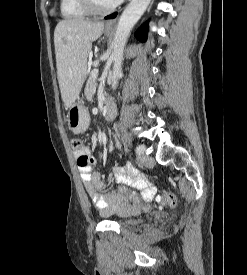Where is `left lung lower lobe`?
I'll return each mask as SVG.
<instances>
[{"label":"left lung lower lobe","mask_w":247,"mask_h":275,"mask_svg":"<svg viewBox=\"0 0 247 275\" xmlns=\"http://www.w3.org/2000/svg\"><path fill=\"white\" fill-rule=\"evenodd\" d=\"M117 15V13L111 14L109 16H106L105 19H112L115 18ZM147 23L143 24L139 30L135 33V37L140 40L141 42H145L146 41V34H147Z\"/></svg>","instance_id":"obj_1"}]
</instances>
